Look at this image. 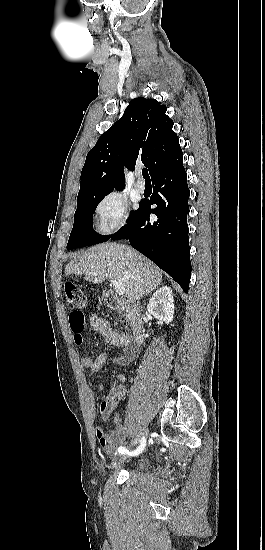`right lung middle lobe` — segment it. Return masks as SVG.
<instances>
[{"mask_svg":"<svg viewBox=\"0 0 265 550\" xmlns=\"http://www.w3.org/2000/svg\"><path fill=\"white\" fill-rule=\"evenodd\" d=\"M106 195L92 198H77V210L74 215V226L67 244V250L98 244L107 241L111 235L103 236L93 231V213L98 203ZM137 211H131L129 222Z\"/></svg>","mask_w":265,"mask_h":550,"instance_id":"dd1d6c3e","label":"right lung middle lobe"}]
</instances>
